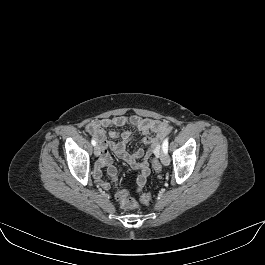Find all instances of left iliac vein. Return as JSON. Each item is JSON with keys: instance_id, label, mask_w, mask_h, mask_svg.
Segmentation results:
<instances>
[{"instance_id": "left-iliac-vein-1", "label": "left iliac vein", "mask_w": 265, "mask_h": 265, "mask_svg": "<svg viewBox=\"0 0 265 265\" xmlns=\"http://www.w3.org/2000/svg\"><path fill=\"white\" fill-rule=\"evenodd\" d=\"M160 160H161L162 164L165 166L169 165V163H170L169 156L164 151L160 155Z\"/></svg>"}]
</instances>
